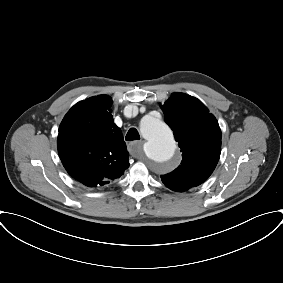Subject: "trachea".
<instances>
[{
  "label": "trachea",
  "instance_id": "trachea-1",
  "mask_svg": "<svg viewBox=\"0 0 283 283\" xmlns=\"http://www.w3.org/2000/svg\"><path fill=\"white\" fill-rule=\"evenodd\" d=\"M125 139L127 141L140 140V135L135 128H131V129H129L128 133L126 134Z\"/></svg>",
  "mask_w": 283,
  "mask_h": 283
}]
</instances>
